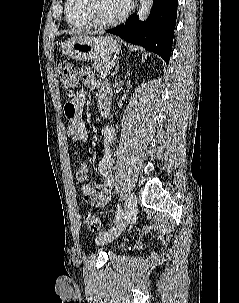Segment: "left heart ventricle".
I'll return each instance as SVG.
<instances>
[{
  "instance_id": "1",
  "label": "left heart ventricle",
  "mask_w": 239,
  "mask_h": 303,
  "mask_svg": "<svg viewBox=\"0 0 239 303\" xmlns=\"http://www.w3.org/2000/svg\"><path fill=\"white\" fill-rule=\"evenodd\" d=\"M126 8L124 0H98L96 14L102 20H112L120 16Z\"/></svg>"
}]
</instances>
